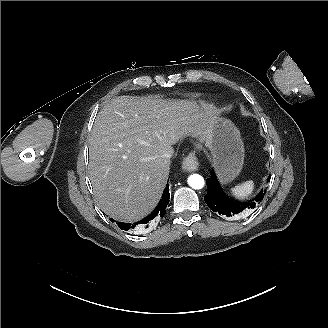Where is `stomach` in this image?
I'll list each match as a JSON object with an SVG mask.
<instances>
[{
  "label": "stomach",
  "mask_w": 328,
  "mask_h": 328,
  "mask_svg": "<svg viewBox=\"0 0 328 328\" xmlns=\"http://www.w3.org/2000/svg\"><path fill=\"white\" fill-rule=\"evenodd\" d=\"M205 147L210 150L221 184L233 181L240 174L244 164V143L239 129L230 119L210 112Z\"/></svg>",
  "instance_id": "1"
}]
</instances>
